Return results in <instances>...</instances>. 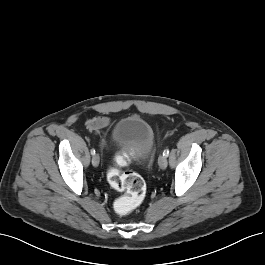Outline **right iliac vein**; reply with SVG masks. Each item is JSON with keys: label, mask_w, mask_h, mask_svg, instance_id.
Instances as JSON below:
<instances>
[{"label": "right iliac vein", "mask_w": 265, "mask_h": 265, "mask_svg": "<svg viewBox=\"0 0 265 265\" xmlns=\"http://www.w3.org/2000/svg\"><path fill=\"white\" fill-rule=\"evenodd\" d=\"M100 162V157L98 154H94L92 157V164L93 166L97 167L99 165Z\"/></svg>", "instance_id": "63e3f726"}]
</instances>
